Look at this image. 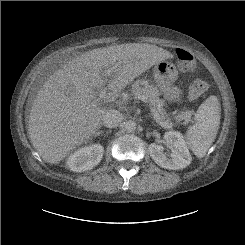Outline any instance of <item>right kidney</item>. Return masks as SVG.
I'll return each mask as SVG.
<instances>
[{
  "instance_id": "right-kidney-1",
  "label": "right kidney",
  "mask_w": 245,
  "mask_h": 245,
  "mask_svg": "<svg viewBox=\"0 0 245 245\" xmlns=\"http://www.w3.org/2000/svg\"><path fill=\"white\" fill-rule=\"evenodd\" d=\"M104 148L100 144H93L78 149L71 154L66 164L74 172H83L92 169L101 161Z\"/></svg>"
}]
</instances>
